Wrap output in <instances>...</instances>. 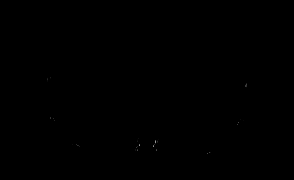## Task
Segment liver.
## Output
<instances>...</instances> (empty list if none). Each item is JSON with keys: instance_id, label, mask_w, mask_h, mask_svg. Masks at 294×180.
<instances>
[{"instance_id": "obj_1", "label": "liver", "mask_w": 294, "mask_h": 180, "mask_svg": "<svg viewBox=\"0 0 294 180\" xmlns=\"http://www.w3.org/2000/svg\"><path fill=\"white\" fill-rule=\"evenodd\" d=\"M117 26H118V25H117ZM116 82L119 84V85H117V86H120V88H122L121 85L123 86V84H124L125 81H124V79H120V80H117ZM115 84H116V83H115ZM114 86H115V85H114Z\"/></svg>"}]
</instances>
